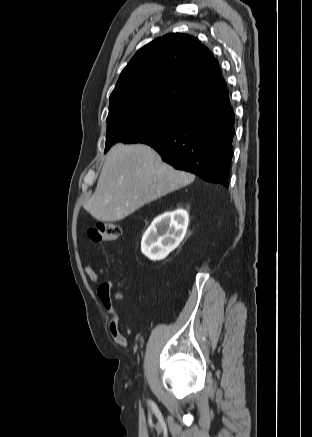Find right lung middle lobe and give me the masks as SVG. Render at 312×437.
Listing matches in <instances>:
<instances>
[{
  "label": "right lung middle lobe",
  "instance_id": "right-lung-middle-lobe-1",
  "mask_svg": "<svg viewBox=\"0 0 312 437\" xmlns=\"http://www.w3.org/2000/svg\"><path fill=\"white\" fill-rule=\"evenodd\" d=\"M192 111L162 102L122 106L107 117L105 152L117 141L143 143L158 139L181 126Z\"/></svg>",
  "mask_w": 312,
  "mask_h": 437
}]
</instances>
